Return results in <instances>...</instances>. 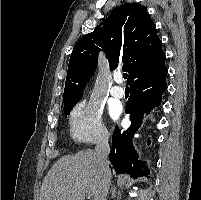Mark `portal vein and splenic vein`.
Masks as SVG:
<instances>
[{
    "label": "portal vein and splenic vein",
    "mask_w": 201,
    "mask_h": 200,
    "mask_svg": "<svg viewBox=\"0 0 201 200\" xmlns=\"http://www.w3.org/2000/svg\"><path fill=\"white\" fill-rule=\"evenodd\" d=\"M88 195H89V197H91V196H92L90 193H89Z\"/></svg>",
    "instance_id": "1"
}]
</instances>
